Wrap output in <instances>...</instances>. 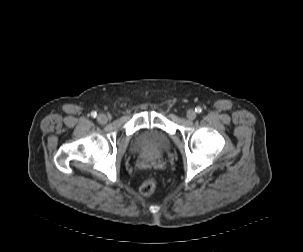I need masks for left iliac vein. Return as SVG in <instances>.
Masks as SVG:
<instances>
[{"instance_id":"1","label":"left iliac vein","mask_w":303,"mask_h":252,"mask_svg":"<svg viewBox=\"0 0 303 252\" xmlns=\"http://www.w3.org/2000/svg\"><path fill=\"white\" fill-rule=\"evenodd\" d=\"M187 118L189 120H194L196 118V112L194 110H189L187 112Z\"/></svg>"}]
</instances>
